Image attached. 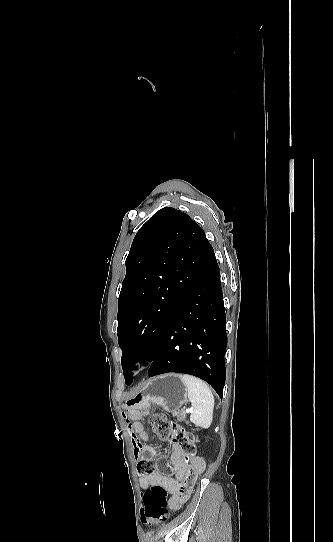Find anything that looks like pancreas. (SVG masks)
<instances>
[{"label":"pancreas","mask_w":333,"mask_h":542,"mask_svg":"<svg viewBox=\"0 0 333 542\" xmlns=\"http://www.w3.org/2000/svg\"><path fill=\"white\" fill-rule=\"evenodd\" d=\"M172 416L178 418L179 422H185V424H188L186 420V412H184V410H181V412H172Z\"/></svg>","instance_id":"1"}]
</instances>
